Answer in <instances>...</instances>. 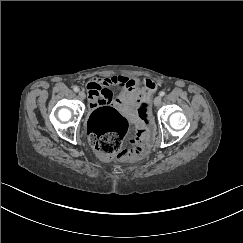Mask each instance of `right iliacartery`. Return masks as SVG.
I'll return each instance as SVG.
<instances>
[{
    "mask_svg": "<svg viewBox=\"0 0 243 243\" xmlns=\"http://www.w3.org/2000/svg\"><path fill=\"white\" fill-rule=\"evenodd\" d=\"M73 90H74L75 92H78V91H79V88H78L77 86H75V87L73 88Z\"/></svg>",
    "mask_w": 243,
    "mask_h": 243,
    "instance_id": "1",
    "label": "right iliac artery"
}]
</instances>
